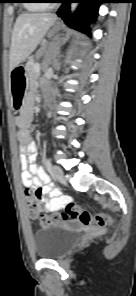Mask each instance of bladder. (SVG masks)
Returning <instances> with one entry per match:
<instances>
[{"instance_id": "bladder-1", "label": "bladder", "mask_w": 136, "mask_h": 296, "mask_svg": "<svg viewBox=\"0 0 136 296\" xmlns=\"http://www.w3.org/2000/svg\"><path fill=\"white\" fill-rule=\"evenodd\" d=\"M34 250L41 259L63 257L77 242V233L65 225H53L35 231Z\"/></svg>"}]
</instances>
